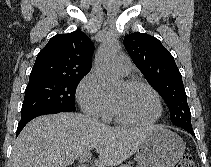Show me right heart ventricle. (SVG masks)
Here are the masks:
<instances>
[{
	"instance_id": "e07e8e85",
	"label": "right heart ventricle",
	"mask_w": 211,
	"mask_h": 167,
	"mask_svg": "<svg viewBox=\"0 0 211 167\" xmlns=\"http://www.w3.org/2000/svg\"><path fill=\"white\" fill-rule=\"evenodd\" d=\"M110 116H113V113L111 112Z\"/></svg>"
}]
</instances>
